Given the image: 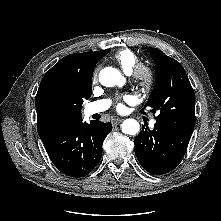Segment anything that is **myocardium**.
<instances>
[{
    "mask_svg": "<svg viewBox=\"0 0 221 221\" xmlns=\"http://www.w3.org/2000/svg\"><path fill=\"white\" fill-rule=\"evenodd\" d=\"M132 76L144 90H150L156 82V74L153 68L143 63H138L135 66Z\"/></svg>",
    "mask_w": 221,
    "mask_h": 221,
    "instance_id": "1",
    "label": "myocardium"
}]
</instances>
